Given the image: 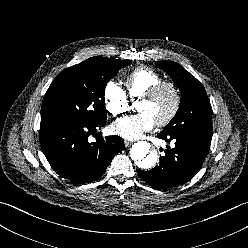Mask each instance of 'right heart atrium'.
<instances>
[{
  "label": "right heart atrium",
  "instance_id": "d8ad5b80",
  "mask_svg": "<svg viewBox=\"0 0 248 248\" xmlns=\"http://www.w3.org/2000/svg\"><path fill=\"white\" fill-rule=\"evenodd\" d=\"M104 101L112 116H121L130 109L127 93L115 82H109L104 89Z\"/></svg>",
  "mask_w": 248,
  "mask_h": 248
}]
</instances>
